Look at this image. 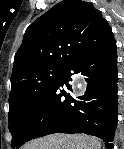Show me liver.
<instances>
[{
	"label": "liver",
	"instance_id": "6515ba94",
	"mask_svg": "<svg viewBox=\"0 0 124 149\" xmlns=\"http://www.w3.org/2000/svg\"><path fill=\"white\" fill-rule=\"evenodd\" d=\"M100 142L84 135L57 134L36 139L24 149H100Z\"/></svg>",
	"mask_w": 124,
	"mask_h": 149
}]
</instances>
